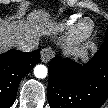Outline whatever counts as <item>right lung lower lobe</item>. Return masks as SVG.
<instances>
[{
    "label": "right lung lower lobe",
    "instance_id": "98d812e1",
    "mask_svg": "<svg viewBox=\"0 0 108 108\" xmlns=\"http://www.w3.org/2000/svg\"><path fill=\"white\" fill-rule=\"evenodd\" d=\"M40 62V51L10 50L0 55V108L10 107L21 79Z\"/></svg>",
    "mask_w": 108,
    "mask_h": 108
}]
</instances>
